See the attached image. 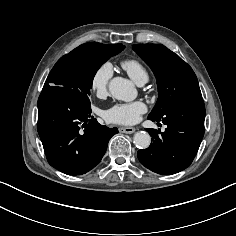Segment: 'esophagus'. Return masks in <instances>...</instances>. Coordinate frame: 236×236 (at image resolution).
<instances>
[{
  "label": "esophagus",
  "instance_id": "34e87169",
  "mask_svg": "<svg viewBox=\"0 0 236 236\" xmlns=\"http://www.w3.org/2000/svg\"><path fill=\"white\" fill-rule=\"evenodd\" d=\"M119 131L121 133L132 134L136 131V129L133 127H121L119 128Z\"/></svg>",
  "mask_w": 236,
  "mask_h": 236
}]
</instances>
